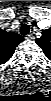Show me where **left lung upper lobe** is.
I'll return each mask as SVG.
<instances>
[{
    "mask_svg": "<svg viewBox=\"0 0 51 101\" xmlns=\"http://www.w3.org/2000/svg\"><path fill=\"white\" fill-rule=\"evenodd\" d=\"M36 43L42 48L44 54L51 59V29L42 32V36L36 39Z\"/></svg>",
    "mask_w": 51,
    "mask_h": 101,
    "instance_id": "obj_1",
    "label": "left lung upper lobe"
}]
</instances>
